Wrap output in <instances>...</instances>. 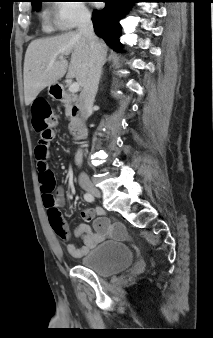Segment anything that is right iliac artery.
Wrapping results in <instances>:
<instances>
[{
	"label": "right iliac artery",
	"mask_w": 213,
	"mask_h": 338,
	"mask_svg": "<svg viewBox=\"0 0 213 338\" xmlns=\"http://www.w3.org/2000/svg\"><path fill=\"white\" fill-rule=\"evenodd\" d=\"M84 199L87 201V202H93L94 201V196L92 194H89V193H86L84 195Z\"/></svg>",
	"instance_id": "right-iliac-artery-1"
}]
</instances>
